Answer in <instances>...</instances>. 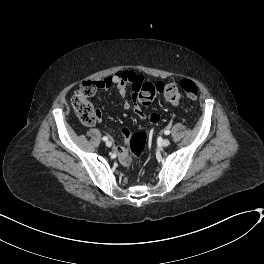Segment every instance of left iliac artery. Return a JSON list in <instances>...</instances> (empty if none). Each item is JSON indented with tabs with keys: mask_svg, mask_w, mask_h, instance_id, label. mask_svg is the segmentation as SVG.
<instances>
[{
	"mask_svg": "<svg viewBox=\"0 0 264 264\" xmlns=\"http://www.w3.org/2000/svg\"><path fill=\"white\" fill-rule=\"evenodd\" d=\"M164 133H165L166 135H169V134H170V130H165Z\"/></svg>",
	"mask_w": 264,
	"mask_h": 264,
	"instance_id": "left-iliac-artery-1",
	"label": "left iliac artery"
}]
</instances>
